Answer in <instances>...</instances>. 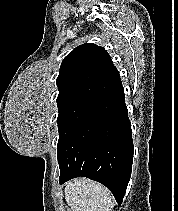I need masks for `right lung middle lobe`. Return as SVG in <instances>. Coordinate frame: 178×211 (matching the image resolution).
I'll list each match as a JSON object with an SVG mask.
<instances>
[{
  "label": "right lung middle lobe",
  "mask_w": 178,
  "mask_h": 211,
  "mask_svg": "<svg viewBox=\"0 0 178 211\" xmlns=\"http://www.w3.org/2000/svg\"><path fill=\"white\" fill-rule=\"evenodd\" d=\"M95 102L81 101L71 103L59 108L57 123L59 127V140L57 148L71 134L79 122L87 115Z\"/></svg>",
  "instance_id": "obj_1"
}]
</instances>
